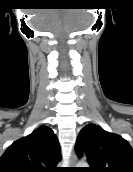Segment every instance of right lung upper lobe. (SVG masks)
Listing matches in <instances>:
<instances>
[{
	"mask_svg": "<svg viewBox=\"0 0 133 172\" xmlns=\"http://www.w3.org/2000/svg\"><path fill=\"white\" fill-rule=\"evenodd\" d=\"M61 148L47 126L11 144L0 157V172H58Z\"/></svg>",
	"mask_w": 133,
	"mask_h": 172,
	"instance_id": "obj_1",
	"label": "right lung upper lobe"
}]
</instances>
